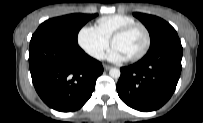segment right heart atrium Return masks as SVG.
<instances>
[{
  "label": "right heart atrium",
  "instance_id": "d8ad5b80",
  "mask_svg": "<svg viewBox=\"0 0 203 123\" xmlns=\"http://www.w3.org/2000/svg\"><path fill=\"white\" fill-rule=\"evenodd\" d=\"M78 45L92 58L102 59L109 47V40L90 25L83 26L77 34Z\"/></svg>",
  "mask_w": 203,
  "mask_h": 123
}]
</instances>
